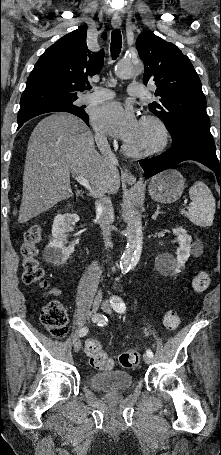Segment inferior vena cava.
Masks as SVG:
<instances>
[{
    "label": "inferior vena cava",
    "mask_w": 221,
    "mask_h": 455,
    "mask_svg": "<svg viewBox=\"0 0 221 455\" xmlns=\"http://www.w3.org/2000/svg\"><path fill=\"white\" fill-rule=\"evenodd\" d=\"M97 145L102 153L105 161L111 168H115L118 165L115 154L111 151L106 137L97 136ZM96 213L99 218V224L102 231V236L106 248L112 246L111 242V223L114 216V210L111 202V198L106 196L105 193H99L96 195Z\"/></svg>",
    "instance_id": "obj_1"
}]
</instances>
